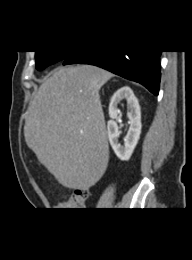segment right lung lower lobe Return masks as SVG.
I'll return each instance as SVG.
<instances>
[{
    "instance_id": "98d812e1",
    "label": "right lung lower lobe",
    "mask_w": 192,
    "mask_h": 260,
    "mask_svg": "<svg viewBox=\"0 0 192 260\" xmlns=\"http://www.w3.org/2000/svg\"><path fill=\"white\" fill-rule=\"evenodd\" d=\"M162 51L90 50L73 51L63 64H91L138 82L158 95L160 84V55Z\"/></svg>"
}]
</instances>
